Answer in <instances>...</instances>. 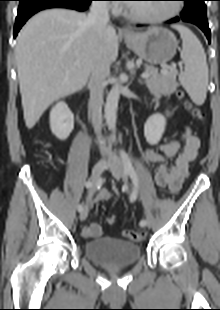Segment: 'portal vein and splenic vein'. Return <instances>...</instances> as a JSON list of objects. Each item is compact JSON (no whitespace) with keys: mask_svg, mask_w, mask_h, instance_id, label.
Here are the masks:
<instances>
[{"mask_svg":"<svg viewBox=\"0 0 220 310\" xmlns=\"http://www.w3.org/2000/svg\"><path fill=\"white\" fill-rule=\"evenodd\" d=\"M169 69H170V70H175V71H176V64H172V65L170 66ZM166 72H167V70L164 71V73H166ZM149 76H150V74H149L148 72H144V73L141 74V77H142L143 79H146V78H148Z\"/></svg>","mask_w":220,"mask_h":310,"instance_id":"portal-vein-and-splenic-vein-1","label":"portal vein and splenic vein"}]
</instances>
